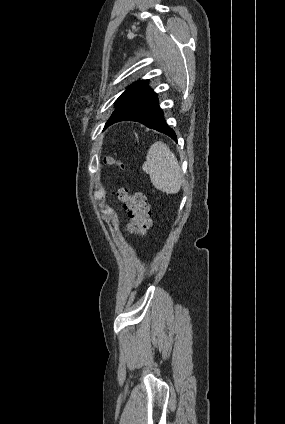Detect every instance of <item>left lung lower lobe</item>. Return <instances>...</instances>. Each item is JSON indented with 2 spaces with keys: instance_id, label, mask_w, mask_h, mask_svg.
<instances>
[{
  "instance_id": "obj_1",
  "label": "left lung lower lobe",
  "mask_w": 285,
  "mask_h": 424,
  "mask_svg": "<svg viewBox=\"0 0 285 424\" xmlns=\"http://www.w3.org/2000/svg\"><path fill=\"white\" fill-rule=\"evenodd\" d=\"M119 121H136L148 128L165 133L177 141L176 134L166 123L159 107L157 94L148 86L135 92L120 104L107 121L105 128Z\"/></svg>"
}]
</instances>
